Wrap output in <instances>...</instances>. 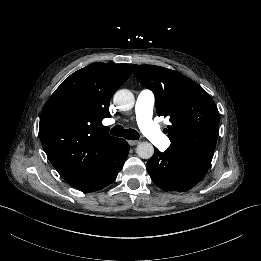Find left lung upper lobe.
<instances>
[{
  "instance_id": "5c2ea615",
  "label": "left lung upper lobe",
  "mask_w": 261,
  "mask_h": 261,
  "mask_svg": "<svg viewBox=\"0 0 261 261\" xmlns=\"http://www.w3.org/2000/svg\"><path fill=\"white\" fill-rule=\"evenodd\" d=\"M138 81L154 92L159 116L168 117L169 148L213 156L219 113L210 95L185 75L154 65H134Z\"/></svg>"
}]
</instances>
